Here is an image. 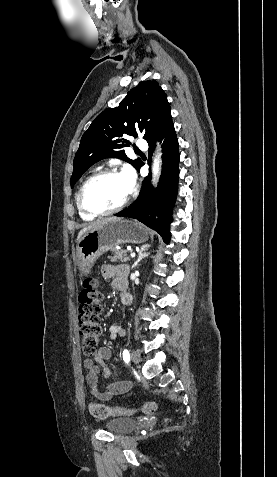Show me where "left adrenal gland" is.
<instances>
[{"label":"left adrenal gland","mask_w":277,"mask_h":477,"mask_svg":"<svg viewBox=\"0 0 277 477\" xmlns=\"http://www.w3.org/2000/svg\"><path fill=\"white\" fill-rule=\"evenodd\" d=\"M150 247V245H143L138 253V258L137 260L134 262V264L132 265V269L135 268L138 263L143 259V258H146L150 252H146L148 250V248Z\"/></svg>","instance_id":"left-adrenal-gland-1"}]
</instances>
